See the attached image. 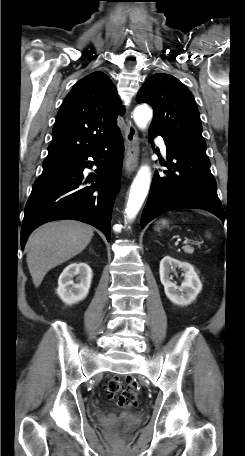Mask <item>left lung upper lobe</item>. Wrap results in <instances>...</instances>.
<instances>
[{
  "mask_svg": "<svg viewBox=\"0 0 245 456\" xmlns=\"http://www.w3.org/2000/svg\"><path fill=\"white\" fill-rule=\"evenodd\" d=\"M154 111L149 131L172 137L181 144L206 154V142L197 104L188 88L172 75L150 76L136 97Z\"/></svg>",
  "mask_w": 245,
  "mask_h": 456,
  "instance_id": "left-lung-upper-lobe-1",
  "label": "left lung upper lobe"
}]
</instances>
